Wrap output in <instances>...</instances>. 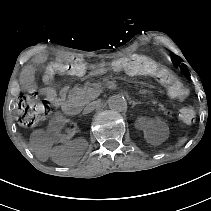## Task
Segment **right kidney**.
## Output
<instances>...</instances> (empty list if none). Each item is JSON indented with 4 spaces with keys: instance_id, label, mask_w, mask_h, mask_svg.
Returning <instances> with one entry per match:
<instances>
[{
    "instance_id": "right-kidney-1",
    "label": "right kidney",
    "mask_w": 211,
    "mask_h": 211,
    "mask_svg": "<svg viewBox=\"0 0 211 211\" xmlns=\"http://www.w3.org/2000/svg\"><path fill=\"white\" fill-rule=\"evenodd\" d=\"M48 134L52 135V140L55 143H60L62 140L70 141L75 139L76 132L72 129L71 123L65 118H56L47 127Z\"/></svg>"
}]
</instances>
